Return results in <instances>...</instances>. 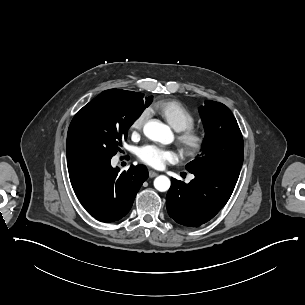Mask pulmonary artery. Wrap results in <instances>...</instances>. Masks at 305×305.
Listing matches in <instances>:
<instances>
[{"label": "pulmonary artery", "mask_w": 305, "mask_h": 305, "mask_svg": "<svg viewBox=\"0 0 305 305\" xmlns=\"http://www.w3.org/2000/svg\"><path fill=\"white\" fill-rule=\"evenodd\" d=\"M194 178V176L193 175H191L190 177H189V180H191V179H193Z\"/></svg>", "instance_id": "obj_1"}]
</instances>
